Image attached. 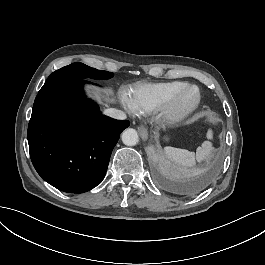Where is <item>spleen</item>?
Instances as JSON below:
<instances>
[{"instance_id":"1","label":"spleen","mask_w":265,"mask_h":265,"mask_svg":"<svg viewBox=\"0 0 265 265\" xmlns=\"http://www.w3.org/2000/svg\"><path fill=\"white\" fill-rule=\"evenodd\" d=\"M210 137V135H208ZM211 151L209 142H204L202 148L199 147L196 152V159L198 161L207 159V154ZM167 155L174 161L183 164L187 167H192L195 164V156L193 152L187 149L176 147H166Z\"/></svg>"}]
</instances>
